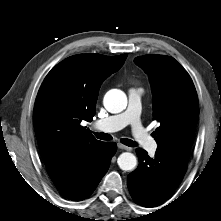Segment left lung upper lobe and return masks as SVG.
I'll list each match as a JSON object with an SVG mask.
<instances>
[{"mask_svg":"<svg viewBox=\"0 0 221 221\" xmlns=\"http://www.w3.org/2000/svg\"><path fill=\"white\" fill-rule=\"evenodd\" d=\"M135 63L150 78L153 119L160 123L153 132L157 151L188 161L199 116L198 96L191 77L169 56H139Z\"/></svg>","mask_w":221,"mask_h":221,"instance_id":"5c2ea615","label":"left lung upper lobe"}]
</instances>
